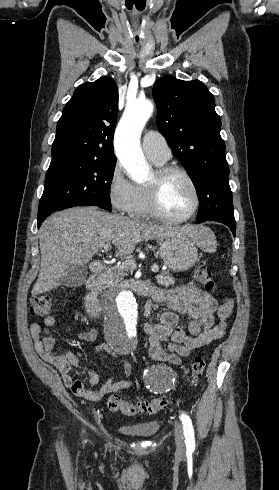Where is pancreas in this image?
<instances>
[{
  "label": "pancreas",
  "mask_w": 279,
  "mask_h": 490,
  "mask_svg": "<svg viewBox=\"0 0 279 490\" xmlns=\"http://www.w3.org/2000/svg\"><path fill=\"white\" fill-rule=\"evenodd\" d=\"M136 270L135 262H132L131 266H126V264H121V266H113V268H108L100 278H98L96 282V286L100 288V290H105V288H110V286H114V284H118L121 282L125 276H128L130 272H134ZM158 284L161 286H173L175 284V278L170 276L169 272H161V274H157L155 276Z\"/></svg>",
  "instance_id": "pancreas-1"
}]
</instances>
